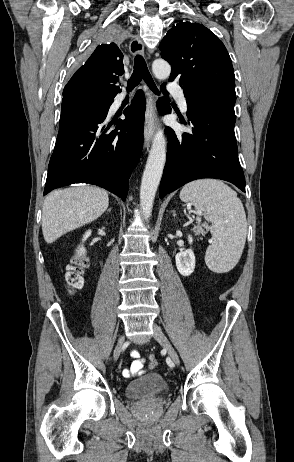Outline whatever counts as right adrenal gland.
Here are the masks:
<instances>
[{
	"mask_svg": "<svg viewBox=\"0 0 294 462\" xmlns=\"http://www.w3.org/2000/svg\"><path fill=\"white\" fill-rule=\"evenodd\" d=\"M108 212H111V208L108 209Z\"/></svg>",
	"mask_w": 294,
	"mask_h": 462,
	"instance_id": "1",
	"label": "right adrenal gland"
}]
</instances>
